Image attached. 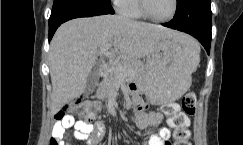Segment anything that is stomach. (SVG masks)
<instances>
[{
  "label": "stomach",
  "mask_w": 243,
  "mask_h": 145,
  "mask_svg": "<svg viewBox=\"0 0 243 145\" xmlns=\"http://www.w3.org/2000/svg\"><path fill=\"white\" fill-rule=\"evenodd\" d=\"M200 48L195 40L160 38L147 55L144 82L147 99L154 104L178 100L192 83Z\"/></svg>",
  "instance_id": "stomach-1"
}]
</instances>
